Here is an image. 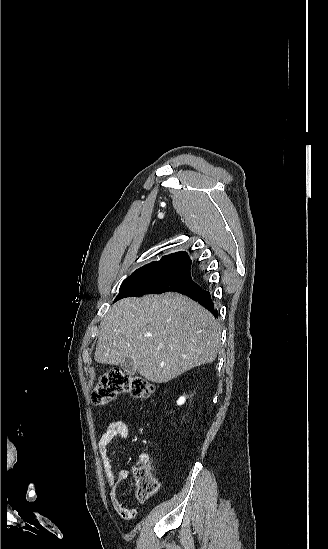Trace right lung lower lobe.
I'll return each instance as SVG.
<instances>
[{
	"mask_svg": "<svg viewBox=\"0 0 328 549\" xmlns=\"http://www.w3.org/2000/svg\"><path fill=\"white\" fill-rule=\"evenodd\" d=\"M181 293L198 301L202 306H204L209 311H211L215 317L218 315L217 310L214 309V304L212 302L210 293L208 291L201 290L200 288H198L192 291L181 292Z\"/></svg>",
	"mask_w": 328,
	"mask_h": 549,
	"instance_id": "right-lung-lower-lobe-1",
	"label": "right lung lower lobe"
}]
</instances>
